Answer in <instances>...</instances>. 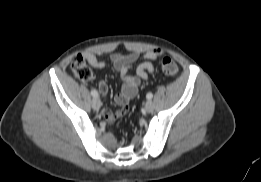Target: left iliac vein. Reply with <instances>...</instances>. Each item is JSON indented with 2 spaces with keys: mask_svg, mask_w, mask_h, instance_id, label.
<instances>
[{
  "mask_svg": "<svg viewBox=\"0 0 261 182\" xmlns=\"http://www.w3.org/2000/svg\"><path fill=\"white\" fill-rule=\"evenodd\" d=\"M154 110V105L151 101H148L146 104H145V111L148 112V113H151L152 111Z\"/></svg>",
  "mask_w": 261,
  "mask_h": 182,
  "instance_id": "obj_1",
  "label": "left iliac vein"
}]
</instances>
